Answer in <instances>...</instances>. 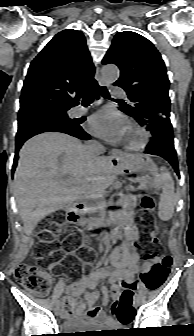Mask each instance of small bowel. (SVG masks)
Wrapping results in <instances>:
<instances>
[{
	"label": "small bowel",
	"mask_w": 194,
	"mask_h": 336,
	"mask_svg": "<svg viewBox=\"0 0 194 336\" xmlns=\"http://www.w3.org/2000/svg\"><path fill=\"white\" fill-rule=\"evenodd\" d=\"M125 222L124 240L121 251L116 249L111 255L113 269H95L90 274L82 277L77 282L67 287V296L63 304L68 310L63 315L75 322H86V326H95L100 323L115 325L117 322L105 318L100 314L95 303L103 295L104 304L108 302L107 289L104 282H119L122 285L130 284L138 271L139 255L136 248V241L139 237L137 229L132 224V211H125L122 217ZM153 261L145 259L143 265L151 268ZM54 266H57L54 264ZM100 289V291L98 290ZM84 294V301L80 296ZM81 327L85 325L79 324Z\"/></svg>",
	"instance_id": "small-bowel-1"
}]
</instances>
